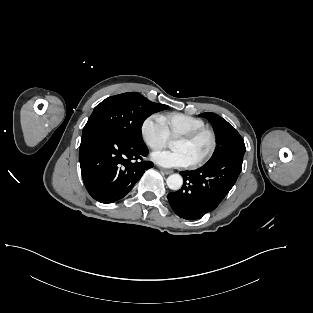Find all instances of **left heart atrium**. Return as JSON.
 <instances>
[{"mask_svg":"<svg viewBox=\"0 0 313 313\" xmlns=\"http://www.w3.org/2000/svg\"><path fill=\"white\" fill-rule=\"evenodd\" d=\"M151 159L163 167H187L191 164L187 154L180 149L158 150L151 154Z\"/></svg>","mask_w":313,"mask_h":313,"instance_id":"obj_1","label":"left heart atrium"}]
</instances>
